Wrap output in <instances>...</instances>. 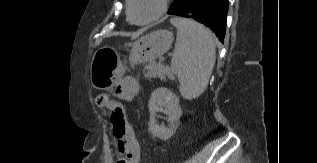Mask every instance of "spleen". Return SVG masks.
<instances>
[{"label":"spleen","instance_id":"1","mask_svg":"<svg viewBox=\"0 0 317 163\" xmlns=\"http://www.w3.org/2000/svg\"><path fill=\"white\" fill-rule=\"evenodd\" d=\"M177 38L171 70L177 74L181 95L188 99L200 96L206 89L216 60L211 33L191 19L174 17Z\"/></svg>","mask_w":317,"mask_h":163}]
</instances>
